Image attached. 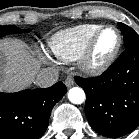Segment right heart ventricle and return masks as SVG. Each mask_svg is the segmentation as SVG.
<instances>
[{
	"label": "right heart ventricle",
	"mask_w": 139,
	"mask_h": 139,
	"mask_svg": "<svg viewBox=\"0 0 139 139\" xmlns=\"http://www.w3.org/2000/svg\"><path fill=\"white\" fill-rule=\"evenodd\" d=\"M102 26L92 23L81 24L59 31L48 40V49L61 61H77L93 34Z\"/></svg>",
	"instance_id": "obj_1"
}]
</instances>
